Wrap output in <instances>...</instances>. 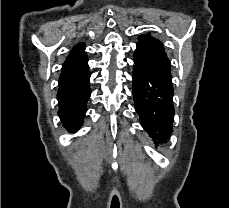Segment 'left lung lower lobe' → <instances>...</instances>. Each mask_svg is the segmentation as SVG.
Here are the masks:
<instances>
[{
  "mask_svg": "<svg viewBox=\"0 0 229 208\" xmlns=\"http://www.w3.org/2000/svg\"><path fill=\"white\" fill-rule=\"evenodd\" d=\"M134 62L133 98L140 123L156 145L166 143L173 131V87L157 80L139 61Z\"/></svg>",
  "mask_w": 229,
  "mask_h": 208,
  "instance_id": "left-lung-lower-lobe-1",
  "label": "left lung lower lobe"
}]
</instances>
